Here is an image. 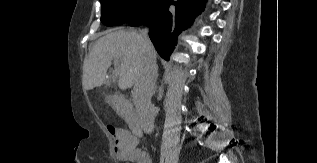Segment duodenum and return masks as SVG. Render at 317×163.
Returning <instances> with one entry per match:
<instances>
[{
    "label": "duodenum",
    "instance_id": "1",
    "mask_svg": "<svg viewBox=\"0 0 317 163\" xmlns=\"http://www.w3.org/2000/svg\"><path fill=\"white\" fill-rule=\"evenodd\" d=\"M113 102L121 117L129 124L133 134V144L136 147V138L142 135L143 130L139 118L132 105L122 95H114ZM118 145H121L119 142Z\"/></svg>",
    "mask_w": 317,
    "mask_h": 163
}]
</instances>
